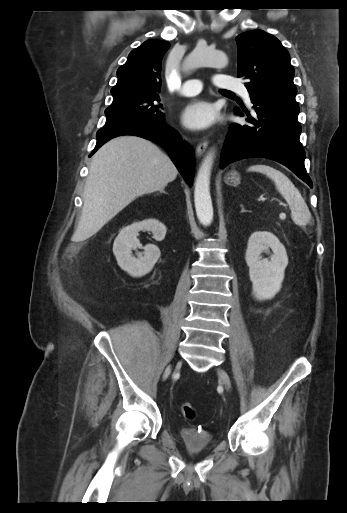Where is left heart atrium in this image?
<instances>
[{
    "label": "left heart atrium",
    "mask_w": 347,
    "mask_h": 513,
    "mask_svg": "<svg viewBox=\"0 0 347 513\" xmlns=\"http://www.w3.org/2000/svg\"><path fill=\"white\" fill-rule=\"evenodd\" d=\"M216 118L214 106L202 99L189 102L181 113V122L191 130H203L213 124Z\"/></svg>",
    "instance_id": "left-heart-atrium-1"
}]
</instances>
